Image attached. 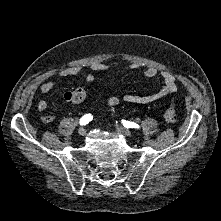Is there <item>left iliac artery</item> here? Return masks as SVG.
<instances>
[{
	"instance_id": "1",
	"label": "left iliac artery",
	"mask_w": 221,
	"mask_h": 221,
	"mask_svg": "<svg viewBox=\"0 0 221 221\" xmlns=\"http://www.w3.org/2000/svg\"><path fill=\"white\" fill-rule=\"evenodd\" d=\"M122 124L126 127V128H139V125L134 123V122H130V121H126V120H122Z\"/></svg>"
}]
</instances>
